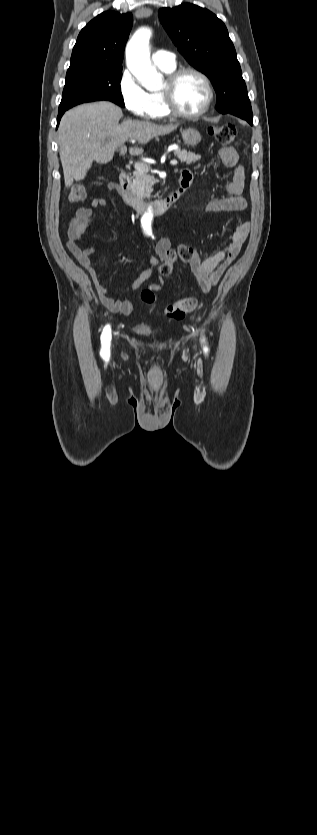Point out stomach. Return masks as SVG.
Instances as JSON below:
<instances>
[{
  "label": "stomach",
  "mask_w": 317,
  "mask_h": 835,
  "mask_svg": "<svg viewBox=\"0 0 317 835\" xmlns=\"http://www.w3.org/2000/svg\"><path fill=\"white\" fill-rule=\"evenodd\" d=\"M180 132L184 143L188 146H196L201 141V135L195 128H184Z\"/></svg>",
  "instance_id": "1"
}]
</instances>
